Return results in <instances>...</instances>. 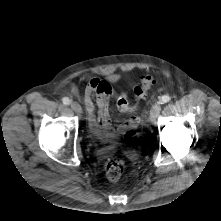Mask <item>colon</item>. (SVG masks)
<instances>
[{
	"mask_svg": "<svg viewBox=\"0 0 221 221\" xmlns=\"http://www.w3.org/2000/svg\"><path fill=\"white\" fill-rule=\"evenodd\" d=\"M93 79H97V78H93ZM154 84H155V78L152 75L142 76L139 84L134 88V95H135L136 99H138V100L143 99L146 96L148 90ZM118 102L121 105L129 106L128 99H127L126 95H122L118 99ZM118 102H117V104H118ZM133 135H134V130L132 129L126 133V138H131ZM124 170H125V161L120 157L109 161L105 165V174H106L107 179L110 182L118 181L121 178V176L123 175Z\"/></svg>",
	"mask_w": 221,
	"mask_h": 221,
	"instance_id": "5ec220e1",
	"label": "colon"
}]
</instances>
